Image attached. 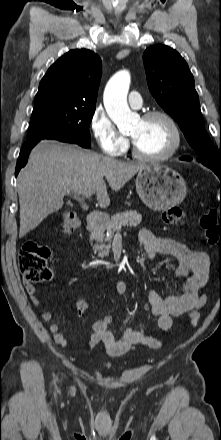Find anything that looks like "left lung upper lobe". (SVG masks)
I'll return each instance as SVG.
<instances>
[{
    "mask_svg": "<svg viewBox=\"0 0 221 440\" xmlns=\"http://www.w3.org/2000/svg\"><path fill=\"white\" fill-rule=\"evenodd\" d=\"M147 83L158 104L179 124L205 166L221 171L217 153L204 125L194 78L186 61L166 45H154L143 54ZM191 160V158H188Z\"/></svg>",
    "mask_w": 221,
    "mask_h": 440,
    "instance_id": "left-lung-upper-lobe-1",
    "label": "left lung upper lobe"
}]
</instances>
